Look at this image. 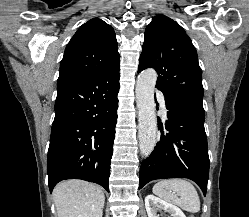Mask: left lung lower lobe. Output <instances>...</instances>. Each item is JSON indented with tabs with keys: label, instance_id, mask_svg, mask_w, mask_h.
<instances>
[{
	"label": "left lung lower lobe",
	"instance_id": "left-lung-lower-lobe-1",
	"mask_svg": "<svg viewBox=\"0 0 249 217\" xmlns=\"http://www.w3.org/2000/svg\"><path fill=\"white\" fill-rule=\"evenodd\" d=\"M163 94L168 120L163 129L158 117L160 139L141 164L139 189L152 180L181 177L196 182L206 195L209 156L202 100L182 93Z\"/></svg>",
	"mask_w": 249,
	"mask_h": 217
}]
</instances>
